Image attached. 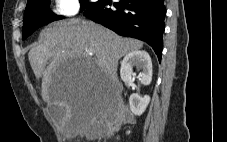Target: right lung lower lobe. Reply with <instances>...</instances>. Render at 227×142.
<instances>
[{
  "label": "right lung lower lobe",
  "instance_id": "1",
  "mask_svg": "<svg viewBox=\"0 0 227 142\" xmlns=\"http://www.w3.org/2000/svg\"><path fill=\"white\" fill-rule=\"evenodd\" d=\"M84 15L120 35L147 42L161 60L164 0H117L113 4L110 0H99L86 9Z\"/></svg>",
  "mask_w": 227,
  "mask_h": 142
}]
</instances>
